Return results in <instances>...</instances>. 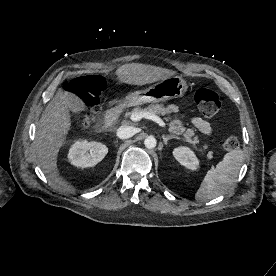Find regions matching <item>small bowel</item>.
Wrapping results in <instances>:
<instances>
[{
	"mask_svg": "<svg viewBox=\"0 0 276 276\" xmlns=\"http://www.w3.org/2000/svg\"><path fill=\"white\" fill-rule=\"evenodd\" d=\"M191 124L197 128L202 134L210 135L212 133V126L202 117L196 116L190 119Z\"/></svg>",
	"mask_w": 276,
	"mask_h": 276,
	"instance_id": "obj_1",
	"label": "small bowel"
}]
</instances>
